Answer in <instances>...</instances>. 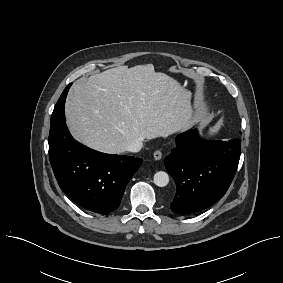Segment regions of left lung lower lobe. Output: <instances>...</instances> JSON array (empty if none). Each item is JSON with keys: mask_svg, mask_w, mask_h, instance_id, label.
<instances>
[{"mask_svg": "<svg viewBox=\"0 0 283 283\" xmlns=\"http://www.w3.org/2000/svg\"><path fill=\"white\" fill-rule=\"evenodd\" d=\"M241 140L205 141L191 130L176 137L165 167L176 183L170 204L177 214L208 208L224 196L238 167Z\"/></svg>", "mask_w": 283, "mask_h": 283, "instance_id": "1", "label": "left lung lower lobe"}]
</instances>
